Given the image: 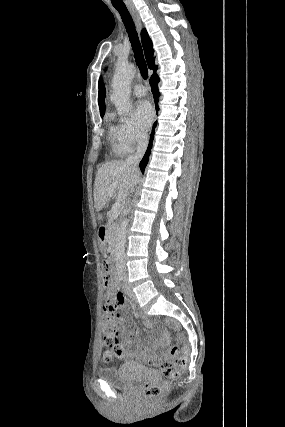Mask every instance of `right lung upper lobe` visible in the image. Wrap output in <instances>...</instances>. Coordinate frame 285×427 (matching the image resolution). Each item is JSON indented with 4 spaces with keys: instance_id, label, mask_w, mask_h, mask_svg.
Here are the masks:
<instances>
[{
    "instance_id": "cb5924a9",
    "label": "right lung upper lobe",
    "mask_w": 285,
    "mask_h": 427,
    "mask_svg": "<svg viewBox=\"0 0 285 427\" xmlns=\"http://www.w3.org/2000/svg\"><path fill=\"white\" fill-rule=\"evenodd\" d=\"M141 38H142V44H143V48H144V53H145V57L148 63V67L149 69H152L154 71L152 76H156V70H157V66L155 65L154 62V57H153V46H152V41L149 38L147 31L144 29L142 30L141 33ZM105 88L103 83L101 82V80H99V94H98V103H99V108H100V115L103 116L104 112H105Z\"/></svg>"
}]
</instances>
